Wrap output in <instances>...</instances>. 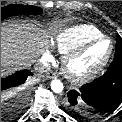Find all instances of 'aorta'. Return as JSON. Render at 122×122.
<instances>
[{"instance_id": "obj_1", "label": "aorta", "mask_w": 122, "mask_h": 122, "mask_svg": "<svg viewBox=\"0 0 122 122\" xmlns=\"http://www.w3.org/2000/svg\"><path fill=\"white\" fill-rule=\"evenodd\" d=\"M51 89L54 93H61L64 89L63 87V83L58 80V79H54L52 82H51Z\"/></svg>"}]
</instances>
